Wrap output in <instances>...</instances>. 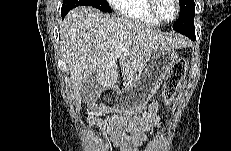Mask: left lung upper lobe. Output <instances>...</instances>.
<instances>
[{
  "label": "left lung upper lobe",
  "mask_w": 231,
  "mask_h": 151,
  "mask_svg": "<svg viewBox=\"0 0 231 151\" xmlns=\"http://www.w3.org/2000/svg\"><path fill=\"white\" fill-rule=\"evenodd\" d=\"M180 1V15L179 19L173 25V29L181 34L188 35L195 32L194 16L195 3L194 0H179Z\"/></svg>",
  "instance_id": "5c2ea615"
}]
</instances>
